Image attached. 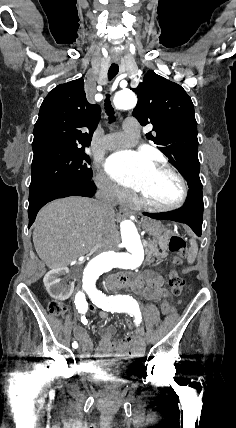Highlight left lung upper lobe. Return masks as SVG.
I'll use <instances>...</instances> for the list:
<instances>
[{"label":"left lung upper lobe","mask_w":236,"mask_h":428,"mask_svg":"<svg viewBox=\"0 0 236 428\" xmlns=\"http://www.w3.org/2000/svg\"><path fill=\"white\" fill-rule=\"evenodd\" d=\"M133 116L142 125L151 123L146 137L157 145L186 178L189 189L202 188L199 178L197 122L191 98L178 84L148 71L136 89Z\"/></svg>","instance_id":"5c2ea615"}]
</instances>
